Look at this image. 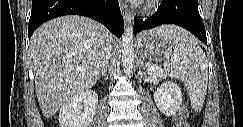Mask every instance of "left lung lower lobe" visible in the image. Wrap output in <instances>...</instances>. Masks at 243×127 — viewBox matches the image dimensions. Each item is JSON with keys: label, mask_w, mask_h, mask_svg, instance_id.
Wrapping results in <instances>:
<instances>
[{"label": "left lung lower lobe", "mask_w": 243, "mask_h": 127, "mask_svg": "<svg viewBox=\"0 0 243 127\" xmlns=\"http://www.w3.org/2000/svg\"><path fill=\"white\" fill-rule=\"evenodd\" d=\"M134 34L162 24L179 25L207 45L205 26L198 11V0H163L155 15L143 21L134 18Z\"/></svg>", "instance_id": "obj_1"}]
</instances>
